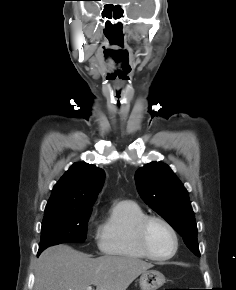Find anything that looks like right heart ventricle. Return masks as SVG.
<instances>
[{"label":"right heart ventricle","instance_id":"obj_1","mask_svg":"<svg viewBox=\"0 0 236 290\" xmlns=\"http://www.w3.org/2000/svg\"><path fill=\"white\" fill-rule=\"evenodd\" d=\"M145 216L146 212L134 201L115 203L98 230L100 251L125 259H147L136 238V226Z\"/></svg>","mask_w":236,"mask_h":290}]
</instances>
